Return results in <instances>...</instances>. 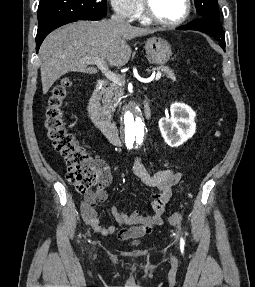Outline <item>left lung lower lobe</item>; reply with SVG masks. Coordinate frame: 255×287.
I'll list each match as a JSON object with an SVG mask.
<instances>
[{
  "label": "left lung lower lobe",
  "mask_w": 255,
  "mask_h": 287,
  "mask_svg": "<svg viewBox=\"0 0 255 287\" xmlns=\"http://www.w3.org/2000/svg\"><path fill=\"white\" fill-rule=\"evenodd\" d=\"M177 30H195L207 33L219 41L220 46L225 50V33L219 21L212 18L201 17Z\"/></svg>",
  "instance_id": "left-lung-lower-lobe-1"
}]
</instances>
